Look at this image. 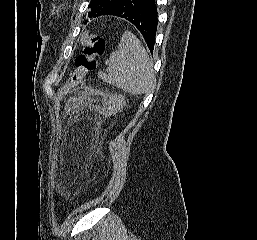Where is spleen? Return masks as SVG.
Here are the masks:
<instances>
[{
	"label": "spleen",
	"instance_id": "3e777b00",
	"mask_svg": "<svg viewBox=\"0 0 257 240\" xmlns=\"http://www.w3.org/2000/svg\"><path fill=\"white\" fill-rule=\"evenodd\" d=\"M107 74L98 73L104 82L133 95L149 93L155 83L153 64L140 40L126 31L118 49L106 61Z\"/></svg>",
	"mask_w": 257,
	"mask_h": 240
}]
</instances>
